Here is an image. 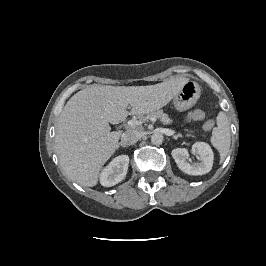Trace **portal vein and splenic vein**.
<instances>
[{
  "label": "portal vein and splenic vein",
  "mask_w": 266,
  "mask_h": 266,
  "mask_svg": "<svg viewBox=\"0 0 266 266\" xmlns=\"http://www.w3.org/2000/svg\"><path fill=\"white\" fill-rule=\"evenodd\" d=\"M150 120L152 122H155L157 119L155 117H151ZM141 124H142V122L140 120H135V119L129 120L128 123H127V125L129 127H135V126H139Z\"/></svg>",
  "instance_id": "1"
}]
</instances>
